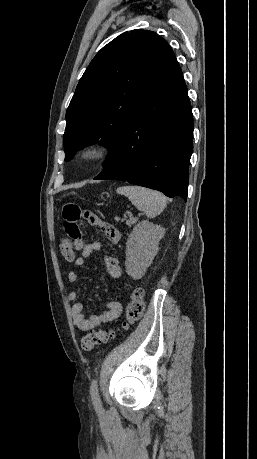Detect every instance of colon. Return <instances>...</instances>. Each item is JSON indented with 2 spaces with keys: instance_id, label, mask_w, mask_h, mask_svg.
<instances>
[{
  "instance_id": "5ec220e1",
  "label": "colon",
  "mask_w": 257,
  "mask_h": 459,
  "mask_svg": "<svg viewBox=\"0 0 257 459\" xmlns=\"http://www.w3.org/2000/svg\"><path fill=\"white\" fill-rule=\"evenodd\" d=\"M68 237L70 238V236ZM60 251L66 261H73L77 252L73 249L71 239H64L62 241L60 245ZM144 308V291L141 288H135L130 295V300L127 304L125 320L122 322L121 328L126 330L133 323L141 319L144 313ZM115 334L116 330L91 331L82 337L81 348L84 351H91L95 346L108 342L115 336Z\"/></svg>"
}]
</instances>
